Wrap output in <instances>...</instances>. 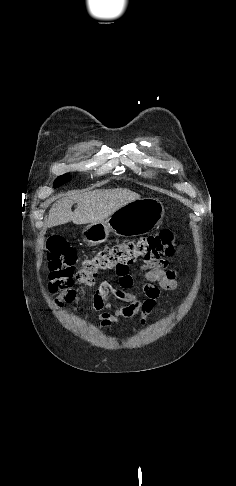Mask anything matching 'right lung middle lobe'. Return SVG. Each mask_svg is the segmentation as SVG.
<instances>
[{
  "label": "right lung middle lobe",
  "instance_id": "right-lung-middle-lobe-1",
  "mask_svg": "<svg viewBox=\"0 0 236 486\" xmlns=\"http://www.w3.org/2000/svg\"><path fill=\"white\" fill-rule=\"evenodd\" d=\"M70 180V176L68 174H64L62 176H59L57 179L54 181V187L57 188L64 183H67Z\"/></svg>",
  "mask_w": 236,
  "mask_h": 486
}]
</instances>
